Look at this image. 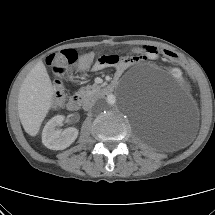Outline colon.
I'll return each instance as SVG.
<instances>
[{
	"label": "colon",
	"mask_w": 215,
	"mask_h": 215,
	"mask_svg": "<svg viewBox=\"0 0 215 215\" xmlns=\"http://www.w3.org/2000/svg\"><path fill=\"white\" fill-rule=\"evenodd\" d=\"M161 55L173 62H177L179 66L183 67L185 71L189 74L191 81L196 80V76L193 74L191 69V64L187 63L188 59L182 57L181 54H177L174 51L164 49L161 51ZM79 60V62H77ZM92 54H85L79 58L78 53L73 49H66L58 53L51 54L47 57L46 62L52 68L54 73L61 75L64 73L68 65L74 64V71L77 75H84L86 69L91 67ZM55 106H60L64 99V87L61 80L57 79L54 85Z\"/></svg>",
	"instance_id": "colon-1"
}]
</instances>
